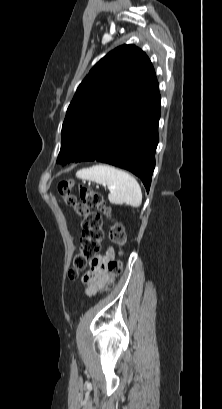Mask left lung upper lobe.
<instances>
[{
  "label": "left lung upper lobe",
  "instance_id": "5c2ea615",
  "mask_svg": "<svg viewBox=\"0 0 222 409\" xmlns=\"http://www.w3.org/2000/svg\"><path fill=\"white\" fill-rule=\"evenodd\" d=\"M158 91L154 68L141 49L123 45L109 52L78 86L67 109L57 163L76 161L127 99L146 101Z\"/></svg>",
  "mask_w": 222,
  "mask_h": 409
}]
</instances>
